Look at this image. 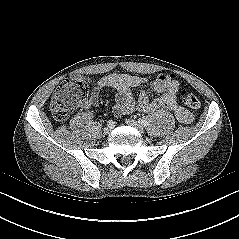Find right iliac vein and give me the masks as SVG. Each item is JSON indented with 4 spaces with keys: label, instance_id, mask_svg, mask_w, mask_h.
Returning <instances> with one entry per match:
<instances>
[{
    "label": "right iliac vein",
    "instance_id": "right-iliac-vein-1",
    "mask_svg": "<svg viewBox=\"0 0 239 239\" xmlns=\"http://www.w3.org/2000/svg\"><path fill=\"white\" fill-rule=\"evenodd\" d=\"M113 129V126L109 125L103 128V133L104 134H109L111 130Z\"/></svg>",
    "mask_w": 239,
    "mask_h": 239
}]
</instances>
